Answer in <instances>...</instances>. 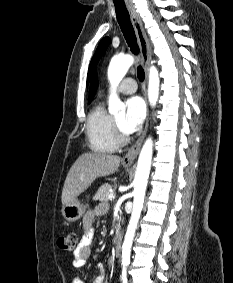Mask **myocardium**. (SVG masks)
<instances>
[{
  "mask_svg": "<svg viewBox=\"0 0 233 283\" xmlns=\"http://www.w3.org/2000/svg\"><path fill=\"white\" fill-rule=\"evenodd\" d=\"M113 129H114L115 139L118 145L125 144L129 139L128 134L120 127V125L117 123V121L114 118H113Z\"/></svg>",
  "mask_w": 233,
  "mask_h": 283,
  "instance_id": "f54148a6",
  "label": "myocardium"
}]
</instances>
